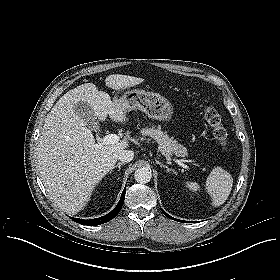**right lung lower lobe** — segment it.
<instances>
[{"label": "right lung lower lobe", "mask_w": 280, "mask_h": 280, "mask_svg": "<svg viewBox=\"0 0 280 280\" xmlns=\"http://www.w3.org/2000/svg\"><path fill=\"white\" fill-rule=\"evenodd\" d=\"M125 193H126V188L123 190L122 194H121V198L117 204V206L108 214H106L105 216L96 218V219H90V220H84V219H79V218H72L73 221L83 224V225H88V226H94V225H100L103 223H106L110 220H112L113 218H115L117 216V214L120 212L123 203H124V199H125Z\"/></svg>", "instance_id": "right-lung-lower-lobe-1"}]
</instances>
